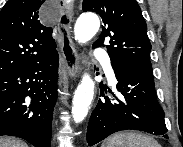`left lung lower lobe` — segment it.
Returning <instances> with one entry per match:
<instances>
[{"instance_id": "1", "label": "left lung lower lobe", "mask_w": 183, "mask_h": 147, "mask_svg": "<svg viewBox=\"0 0 183 147\" xmlns=\"http://www.w3.org/2000/svg\"><path fill=\"white\" fill-rule=\"evenodd\" d=\"M112 67L118 80L116 89L121 96L117 98L111 92L115 99H99L88 124V145L122 130H139L168 138L153 77L114 63ZM100 91L103 94V84H100Z\"/></svg>"}]
</instances>
